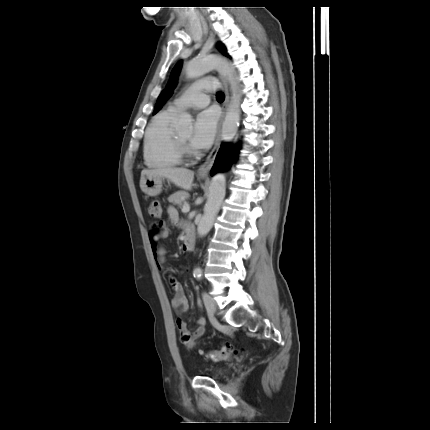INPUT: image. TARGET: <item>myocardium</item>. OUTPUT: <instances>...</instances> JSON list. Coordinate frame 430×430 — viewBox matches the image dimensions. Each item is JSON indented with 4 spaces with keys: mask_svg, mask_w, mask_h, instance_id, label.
<instances>
[{
    "mask_svg": "<svg viewBox=\"0 0 430 430\" xmlns=\"http://www.w3.org/2000/svg\"><path fill=\"white\" fill-rule=\"evenodd\" d=\"M175 144L177 152L182 159H189L194 156V151L190 148L188 142L182 140L178 133H175Z\"/></svg>",
    "mask_w": 430,
    "mask_h": 430,
    "instance_id": "f54148a6",
    "label": "myocardium"
}]
</instances>
